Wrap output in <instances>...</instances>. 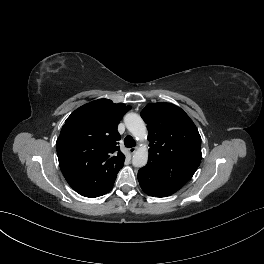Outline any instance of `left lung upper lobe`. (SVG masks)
Masks as SVG:
<instances>
[{
  "label": "left lung upper lobe",
  "instance_id": "1",
  "mask_svg": "<svg viewBox=\"0 0 264 264\" xmlns=\"http://www.w3.org/2000/svg\"><path fill=\"white\" fill-rule=\"evenodd\" d=\"M147 123L149 160L167 174L189 180L201 161V137L189 116L171 103L147 104L141 111Z\"/></svg>",
  "mask_w": 264,
  "mask_h": 264
}]
</instances>
